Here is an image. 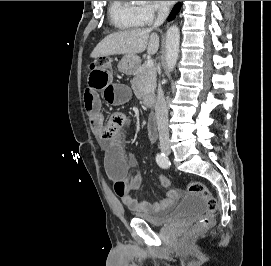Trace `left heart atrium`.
<instances>
[{"instance_id":"39dd6f15","label":"left heart atrium","mask_w":271,"mask_h":266,"mask_svg":"<svg viewBox=\"0 0 271 266\" xmlns=\"http://www.w3.org/2000/svg\"><path fill=\"white\" fill-rule=\"evenodd\" d=\"M163 4H170V3H172V2H174V1H161Z\"/></svg>"}]
</instances>
